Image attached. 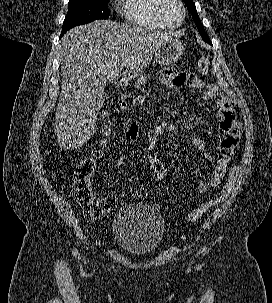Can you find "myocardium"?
Here are the masks:
<instances>
[{
	"label": "myocardium",
	"instance_id": "1",
	"mask_svg": "<svg viewBox=\"0 0 272 303\" xmlns=\"http://www.w3.org/2000/svg\"><path fill=\"white\" fill-rule=\"evenodd\" d=\"M168 2H174L176 3L180 10H181V18L179 20V22L172 24L170 23L164 16V7L166 5V3ZM156 15L158 17V19L165 25V27L167 28H177L180 25H182V23L185 20L186 17V9L185 6L183 4V2L181 0H158V4L156 6Z\"/></svg>",
	"mask_w": 272,
	"mask_h": 303
}]
</instances>
